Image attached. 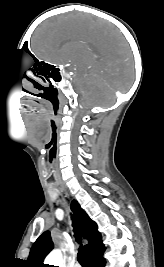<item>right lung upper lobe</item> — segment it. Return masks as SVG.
Returning <instances> with one entry per match:
<instances>
[{"label":"right lung upper lobe","instance_id":"1","mask_svg":"<svg viewBox=\"0 0 164 267\" xmlns=\"http://www.w3.org/2000/svg\"><path fill=\"white\" fill-rule=\"evenodd\" d=\"M71 209L79 224L83 237L89 241L85 245L87 258L105 250L101 240V234L97 229V224L88 217L77 201H72ZM52 249L53 242L50 232L45 231L33 244L27 259L28 265L30 267H44L43 260Z\"/></svg>","mask_w":164,"mask_h":267}]
</instances>
